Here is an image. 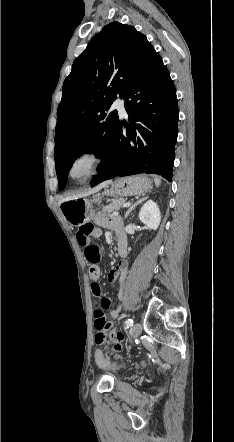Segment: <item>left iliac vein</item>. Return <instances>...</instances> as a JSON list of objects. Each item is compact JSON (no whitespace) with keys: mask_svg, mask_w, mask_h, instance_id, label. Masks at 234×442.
I'll return each instance as SVG.
<instances>
[{"mask_svg":"<svg viewBox=\"0 0 234 442\" xmlns=\"http://www.w3.org/2000/svg\"><path fill=\"white\" fill-rule=\"evenodd\" d=\"M142 331V325L140 323H136L131 329L132 338H137Z\"/></svg>","mask_w":234,"mask_h":442,"instance_id":"4c4485c4","label":"left iliac vein"}]
</instances>
